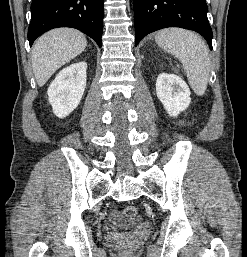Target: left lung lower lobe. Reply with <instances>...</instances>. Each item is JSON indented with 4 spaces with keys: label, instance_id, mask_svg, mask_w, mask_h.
<instances>
[{
    "label": "left lung lower lobe",
    "instance_id": "0a47b994",
    "mask_svg": "<svg viewBox=\"0 0 247 257\" xmlns=\"http://www.w3.org/2000/svg\"><path fill=\"white\" fill-rule=\"evenodd\" d=\"M135 46L147 34L167 27L200 33L212 50V29L205 0H133Z\"/></svg>",
    "mask_w": 247,
    "mask_h": 257
}]
</instances>
